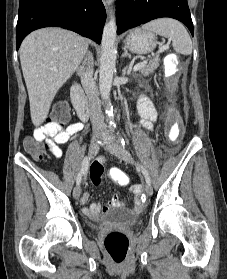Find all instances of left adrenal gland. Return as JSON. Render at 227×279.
Here are the masks:
<instances>
[{"instance_id": "obj_1", "label": "left adrenal gland", "mask_w": 227, "mask_h": 279, "mask_svg": "<svg viewBox=\"0 0 227 279\" xmlns=\"http://www.w3.org/2000/svg\"><path fill=\"white\" fill-rule=\"evenodd\" d=\"M121 57H129V58H131V55L128 53V51H127L126 48H124V53L122 54ZM128 69H130V67H128V65L125 66V67L122 69V75H123V76H125V75L127 74Z\"/></svg>"}]
</instances>
